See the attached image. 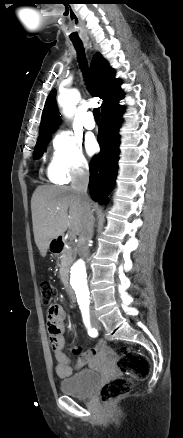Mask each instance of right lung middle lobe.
Segmentation results:
<instances>
[{
	"instance_id": "1",
	"label": "right lung middle lobe",
	"mask_w": 183,
	"mask_h": 438,
	"mask_svg": "<svg viewBox=\"0 0 183 438\" xmlns=\"http://www.w3.org/2000/svg\"><path fill=\"white\" fill-rule=\"evenodd\" d=\"M50 135L51 134H48L38 138V142L35 145L34 153H33V158L35 160L41 157L42 153L46 148V143H48V141L50 140Z\"/></svg>"
}]
</instances>
